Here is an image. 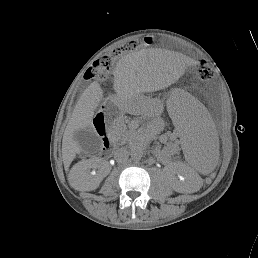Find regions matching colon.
Returning <instances> with one entry per match:
<instances>
[{"mask_svg":"<svg viewBox=\"0 0 258 258\" xmlns=\"http://www.w3.org/2000/svg\"><path fill=\"white\" fill-rule=\"evenodd\" d=\"M152 38L146 37L142 40H132L125 43L123 46L115 48L111 53L101 55L93 65L85 72L87 79L103 80L107 78L113 67L114 60L123 52L137 49L146 44H151ZM195 74L198 79L206 80L212 75L211 68L206 63H199L195 68Z\"/></svg>","mask_w":258,"mask_h":258,"instance_id":"obj_1","label":"colon"}]
</instances>
